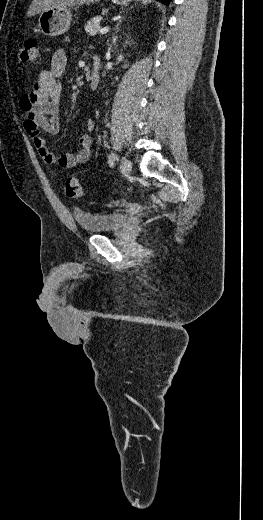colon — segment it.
<instances>
[{"instance_id":"5ec220e1","label":"colon","mask_w":263,"mask_h":520,"mask_svg":"<svg viewBox=\"0 0 263 520\" xmlns=\"http://www.w3.org/2000/svg\"><path fill=\"white\" fill-rule=\"evenodd\" d=\"M23 61L37 62L39 59L38 41L34 38L27 39L21 53ZM64 191L69 198H78L82 195V188L77 178L73 176L66 177L63 182Z\"/></svg>"}]
</instances>
